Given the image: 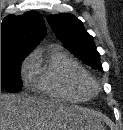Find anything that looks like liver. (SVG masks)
Listing matches in <instances>:
<instances>
[{
	"label": "liver",
	"instance_id": "liver-1",
	"mask_svg": "<svg viewBox=\"0 0 123 130\" xmlns=\"http://www.w3.org/2000/svg\"><path fill=\"white\" fill-rule=\"evenodd\" d=\"M95 115L78 106L27 94H1V130H99Z\"/></svg>",
	"mask_w": 123,
	"mask_h": 130
}]
</instances>
